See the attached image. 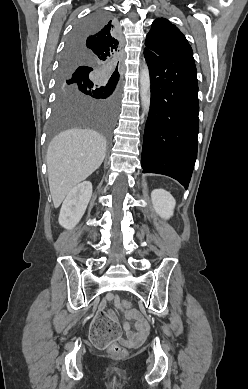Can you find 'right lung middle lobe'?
<instances>
[{"instance_id": "dd1d6c3e", "label": "right lung middle lobe", "mask_w": 248, "mask_h": 389, "mask_svg": "<svg viewBox=\"0 0 248 389\" xmlns=\"http://www.w3.org/2000/svg\"><path fill=\"white\" fill-rule=\"evenodd\" d=\"M108 22L106 12H93L74 29L67 47ZM68 56L64 53L62 57L50 137L69 128L91 127L109 141L119 94L118 79L110 77L108 68L88 62L82 55ZM77 69L85 70V73L72 75Z\"/></svg>"}]
</instances>
